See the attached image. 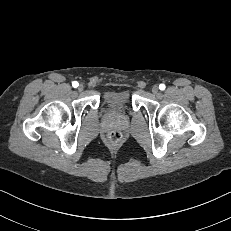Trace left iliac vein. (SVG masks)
I'll use <instances>...</instances> for the list:
<instances>
[{
  "label": "left iliac vein",
  "mask_w": 231,
  "mask_h": 231,
  "mask_svg": "<svg viewBox=\"0 0 231 231\" xmlns=\"http://www.w3.org/2000/svg\"><path fill=\"white\" fill-rule=\"evenodd\" d=\"M158 91H159V87L157 85H155V86L152 87V93L153 94H157Z\"/></svg>",
  "instance_id": "1"
}]
</instances>
